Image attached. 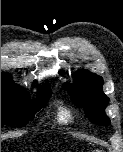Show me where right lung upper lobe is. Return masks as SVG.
I'll use <instances>...</instances> for the list:
<instances>
[{"label":"right lung upper lobe","mask_w":123,"mask_h":152,"mask_svg":"<svg viewBox=\"0 0 123 152\" xmlns=\"http://www.w3.org/2000/svg\"><path fill=\"white\" fill-rule=\"evenodd\" d=\"M1 87H7L16 90L18 93L26 95L23 88L17 86L12 82V79L9 75L1 73ZM40 95L51 94V90L48 84H45L40 87L39 90Z\"/></svg>","instance_id":"right-lung-upper-lobe-1"}]
</instances>
